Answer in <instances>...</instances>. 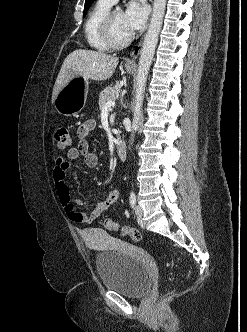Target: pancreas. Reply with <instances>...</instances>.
Masks as SVG:
<instances>
[{"label":"pancreas","mask_w":247,"mask_h":332,"mask_svg":"<svg viewBox=\"0 0 247 332\" xmlns=\"http://www.w3.org/2000/svg\"><path fill=\"white\" fill-rule=\"evenodd\" d=\"M120 92V85L113 87H107L99 94V108L102 109L108 101H114L117 99Z\"/></svg>","instance_id":"cf45deb5"}]
</instances>
